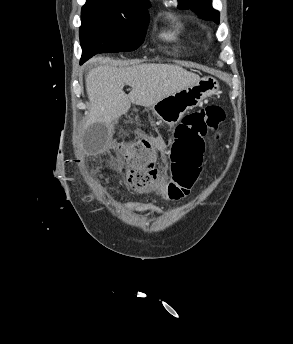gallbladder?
<instances>
[{
	"label": "gallbladder",
	"instance_id": "gallbladder-1",
	"mask_svg": "<svg viewBox=\"0 0 293 344\" xmlns=\"http://www.w3.org/2000/svg\"><path fill=\"white\" fill-rule=\"evenodd\" d=\"M110 137L109 128L104 123H93L85 131L83 146L87 153L101 151Z\"/></svg>",
	"mask_w": 293,
	"mask_h": 344
}]
</instances>
